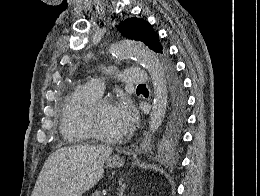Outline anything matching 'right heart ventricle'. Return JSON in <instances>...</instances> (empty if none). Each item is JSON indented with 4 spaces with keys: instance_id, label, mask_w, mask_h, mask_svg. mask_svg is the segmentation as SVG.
Wrapping results in <instances>:
<instances>
[{
    "instance_id": "right-heart-ventricle-1",
    "label": "right heart ventricle",
    "mask_w": 260,
    "mask_h": 196,
    "mask_svg": "<svg viewBox=\"0 0 260 196\" xmlns=\"http://www.w3.org/2000/svg\"><path fill=\"white\" fill-rule=\"evenodd\" d=\"M100 96L90 84L78 86L73 91L66 103L61 121V133L68 144L86 143L94 137L83 124L90 106ZM50 191L57 192V190Z\"/></svg>"
}]
</instances>
